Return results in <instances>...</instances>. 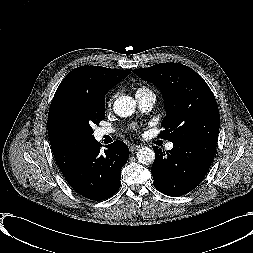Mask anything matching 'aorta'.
<instances>
[{
  "mask_svg": "<svg viewBox=\"0 0 253 253\" xmlns=\"http://www.w3.org/2000/svg\"><path fill=\"white\" fill-rule=\"evenodd\" d=\"M114 112L120 117H128L136 110V101L130 96H120L113 105ZM137 159L141 164L150 165L155 159L153 149L143 147L137 152Z\"/></svg>",
  "mask_w": 253,
  "mask_h": 253,
  "instance_id": "obj_1",
  "label": "aorta"
}]
</instances>
